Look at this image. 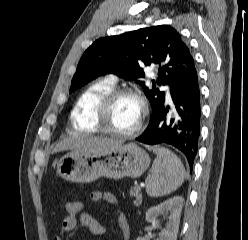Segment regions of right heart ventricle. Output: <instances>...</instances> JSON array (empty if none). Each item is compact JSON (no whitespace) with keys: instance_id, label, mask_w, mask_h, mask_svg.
I'll return each mask as SVG.
<instances>
[{"instance_id":"right-heart-ventricle-1","label":"right heart ventricle","mask_w":248,"mask_h":240,"mask_svg":"<svg viewBox=\"0 0 248 240\" xmlns=\"http://www.w3.org/2000/svg\"><path fill=\"white\" fill-rule=\"evenodd\" d=\"M115 84L108 79L98 80L89 85L77 98L70 114L71 128L77 132L96 133L94 112L99 101L112 89Z\"/></svg>"}]
</instances>
